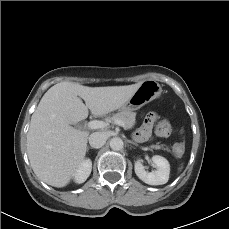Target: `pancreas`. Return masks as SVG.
<instances>
[{
    "label": "pancreas",
    "instance_id": "1",
    "mask_svg": "<svg viewBox=\"0 0 229 229\" xmlns=\"http://www.w3.org/2000/svg\"><path fill=\"white\" fill-rule=\"evenodd\" d=\"M135 116H136V113H134V112L121 111L119 113L114 114L111 117H108L107 121L115 123V121L121 120L125 124V129H131L135 124ZM152 148L161 149V148H163V146L154 145V146H152ZM164 150H168V149L164 148Z\"/></svg>",
    "mask_w": 229,
    "mask_h": 229
}]
</instances>
